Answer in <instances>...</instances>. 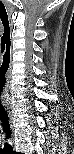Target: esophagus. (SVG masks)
I'll use <instances>...</instances> for the list:
<instances>
[{
	"instance_id": "esophagus-1",
	"label": "esophagus",
	"mask_w": 74,
	"mask_h": 154,
	"mask_svg": "<svg viewBox=\"0 0 74 154\" xmlns=\"http://www.w3.org/2000/svg\"><path fill=\"white\" fill-rule=\"evenodd\" d=\"M6 111L8 113V116L10 118V122L13 123V115H12V112H11V108L10 107H7L6 108ZM12 128H13V125L11 124Z\"/></svg>"
}]
</instances>
